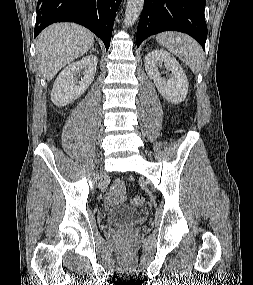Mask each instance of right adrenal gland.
I'll return each instance as SVG.
<instances>
[{"mask_svg": "<svg viewBox=\"0 0 253 285\" xmlns=\"http://www.w3.org/2000/svg\"><path fill=\"white\" fill-rule=\"evenodd\" d=\"M91 51H93V52H94V51L98 52L94 47L91 48Z\"/></svg>", "mask_w": 253, "mask_h": 285, "instance_id": "right-adrenal-gland-1", "label": "right adrenal gland"}]
</instances>
